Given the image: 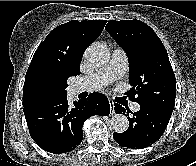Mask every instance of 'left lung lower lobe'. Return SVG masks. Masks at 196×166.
Listing matches in <instances>:
<instances>
[{"label":"left lung lower lobe","instance_id":"left-lung-lower-lobe-1","mask_svg":"<svg viewBox=\"0 0 196 166\" xmlns=\"http://www.w3.org/2000/svg\"><path fill=\"white\" fill-rule=\"evenodd\" d=\"M114 105L116 113L125 114L127 108L119 104ZM131 113L132 118L127 115L128 129L123 133H113V138L119 145L132 149H143L157 141L162 136L172 114L167 109L147 104H140V110Z\"/></svg>","mask_w":196,"mask_h":166}]
</instances>
